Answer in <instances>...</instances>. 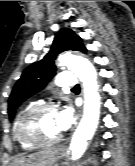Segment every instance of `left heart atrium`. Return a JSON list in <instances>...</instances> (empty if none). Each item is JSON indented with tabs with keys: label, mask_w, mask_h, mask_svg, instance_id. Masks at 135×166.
I'll use <instances>...</instances> for the list:
<instances>
[{
	"label": "left heart atrium",
	"mask_w": 135,
	"mask_h": 166,
	"mask_svg": "<svg viewBox=\"0 0 135 166\" xmlns=\"http://www.w3.org/2000/svg\"><path fill=\"white\" fill-rule=\"evenodd\" d=\"M73 122L72 109L67 107L61 111H58V126L61 131L68 129Z\"/></svg>",
	"instance_id": "1"
}]
</instances>
